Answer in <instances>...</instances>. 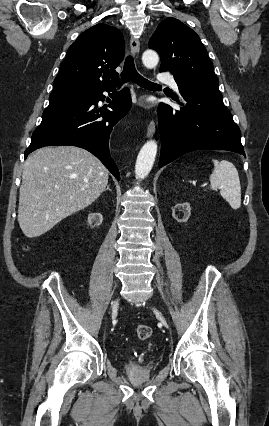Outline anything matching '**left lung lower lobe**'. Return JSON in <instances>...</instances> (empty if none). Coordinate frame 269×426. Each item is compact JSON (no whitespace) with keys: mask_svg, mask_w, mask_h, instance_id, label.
<instances>
[{"mask_svg":"<svg viewBox=\"0 0 269 426\" xmlns=\"http://www.w3.org/2000/svg\"><path fill=\"white\" fill-rule=\"evenodd\" d=\"M174 79L186 104L180 109L159 104V167L201 149L228 150L245 156L239 127L223 103L218 84L197 87L178 76L174 75Z\"/></svg>","mask_w":269,"mask_h":426,"instance_id":"obj_1","label":"left lung lower lobe"}]
</instances>
